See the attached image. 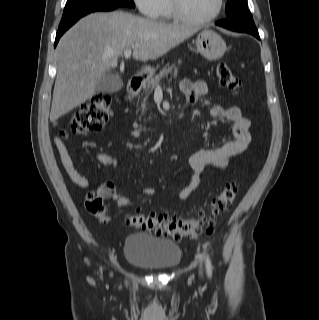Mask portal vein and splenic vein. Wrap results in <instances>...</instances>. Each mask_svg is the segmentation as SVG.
I'll list each match as a JSON object with an SVG mask.
<instances>
[{"instance_id": "1", "label": "portal vein and splenic vein", "mask_w": 319, "mask_h": 320, "mask_svg": "<svg viewBox=\"0 0 319 320\" xmlns=\"http://www.w3.org/2000/svg\"><path fill=\"white\" fill-rule=\"evenodd\" d=\"M125 58H130L131 56V49H127L124 51ZM156 90H161V87L159 85L156 86Z\"/></svg>"}]
</instances>
